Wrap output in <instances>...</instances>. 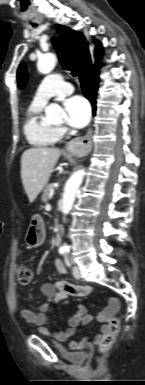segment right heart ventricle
<instances>
[{
  "instance_id": "obj_1",
  "label": "right heart ventricle",
  "mask_w": 145,
  "mask_h": 385,
  "mask_svg": "<svg viewBox=\"0 0 145 385\" xmlns=\"http://www.w3.org/2000/svg\"><path fill=\"white\" fill-rule=\"evenodd\" d=\"M44 105L32 102L26 111L23 124V132L27 141L35 147H47L59 139L57 129L42 118Z\"/></svg>"
}]
</instances>
